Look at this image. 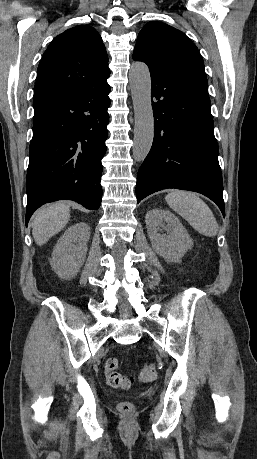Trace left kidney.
Instances as JSON below:
<instances>
[{
  "label": "left kidney",
  "mask_w": 257,
  "mask_h": 459,
  "mask_svg": "<svg viewBox=\"0 0 257 459\" xmlns=\"http://www.w3.org/2000/svg\"><path fill=\"white\" fill-rule=\"evenodd\" d=\"M145 219L152 248L167 261L179 262L192 248V238L172 212L155 208L147 212Z\"/></svg>",
  "instance_id": "5707ae66"
}]
</instances>
